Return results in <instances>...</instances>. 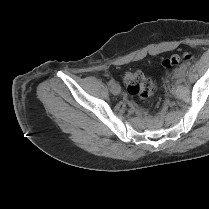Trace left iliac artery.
Segmentation results:
<instances>
[{"label": "left iliac artery", "instance_id": "44dca946", "mask_svg": "<svg viewBox=\"0 0 209 209\" xmlns=\"http://www.w3.org/2000/svg\"><path fill=\"white\" fill-rule=\"evenodd\" d=\"M181 69H182L183 71H186V70H187V65H186L185 63H183V64L181 65Z\"/></svg>", "mask_w": 209, "mask_h": 209}]
</instances>
